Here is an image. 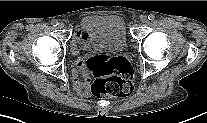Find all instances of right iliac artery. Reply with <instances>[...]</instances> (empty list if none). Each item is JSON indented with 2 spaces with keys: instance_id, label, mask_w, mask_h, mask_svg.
Returning <instances> with one entry per match:
<instances>
[{
  "instance_id": "1",
  "label": "right iliac artery",
  "mask_w": 207,
  "mask_h": 123,
  "mask_svg": "<svg viewBox=\"0 0 207 123\" xmlns=\"http://www.w3.org/2000/svg\"><path fill=\"white\" fill-rule=\"evenodd\" d=\"M51 24H52L53 26H57V25H58V21H57V20H52V21H51Z\"/></svg>"
}]
</instances>
